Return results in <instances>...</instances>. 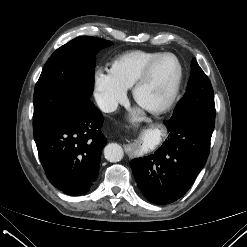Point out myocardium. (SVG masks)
I'll use <instances>...</instances> for the list:
<instances>
[{
    "label": "myocardium",
    "mask_w": 247,
    "mask_h": 247,
    "mask_svg": "<svg viewBox=\"0 0 247 247\" xmlns=\"http://www.w3.org/2000/svg\"><path fill=\"white\" fill-rule=\"evenodd\" d=\"M165 57H171L175 60L176 64H177V76L173 85V88L169 94V96L161 103L159 104H155V105H146L144 103H142V101L140 100V90L143 87V85L146 83V81L148 80L153 68L155 67V65L163 58ZM182 78H183V69H182V65L181 62L179 61L178 57L170 52H165V53H161L158 56H156L154 59H152L146 66L145 68L142 70V72L140 73V75L138 76V78L136 79V81L134 82L133 86H132V96L134 101L141 106L143 109H145L146 111L150 112V113H163L167 110H169L173 104L175 103L179 91H180V87H181V83H182Z\"/></svg>",
    "instance_id": "obj_1"
}]
</instances>
